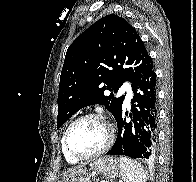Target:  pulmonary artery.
I'll use <instances>...</instances> for the list:
<instances>
[{"label":"pulmonary artery","mask_w":196,"mask_h":182,"mask_svg":"<svg viewBox=\"0 0 196 182\" xmlns=\"http://www.w3.org/2000/svg\"><path fill=\"white\" fill-rule=\"evenodd\" d=\"M126 103L128 104L132 98V93L129 90H126Z\"/></svg>","instance_id":"e3ab8cb5"}]
</instances>
